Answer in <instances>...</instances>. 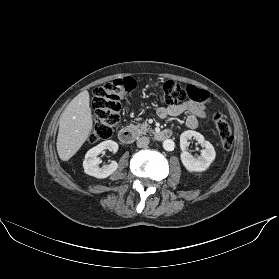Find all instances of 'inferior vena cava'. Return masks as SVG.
I'll return each instance as SVG.
<instances>
[{
	"label": "inferior vena cava",
	"instance_id": "obj_1",
	"mask_svg": "<svg viewBox=\"0 0 279 279\" xmlns=\"http://www.w3.org/2000/svg\"><path fill=\"white\" fill-rule=\"evenodd\" d=\"M148 144H149V138L146 136H142V137L138 138V140H137V146L139 148H143V147L147 146Z\"/></svg>",
	"mask_w": 279,
	"mask_h": 279
}]
</instances>
